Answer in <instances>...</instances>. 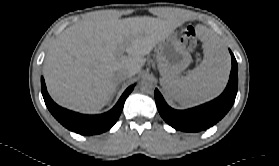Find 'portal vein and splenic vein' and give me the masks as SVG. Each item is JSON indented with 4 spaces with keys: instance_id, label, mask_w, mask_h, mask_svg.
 <instances>
[{
    "instance_id": "18ae733b",
    "label": "portal vein and splenic vein",
    "mask_w": 279,
    "mask_h": 166,
    "mask_svg": "<svg viewBox=\"0 0 279 166\" xmlns=\"http://www.w3.org/2000/svg\"><path fill=\"white\" fill-rule=\"evenodd\" d=\"M124 50H125V45H124V44H121V45L118 47L117 54H118L119 56H121V55L123 54Z\"/></svg>"
}]
</instances>
